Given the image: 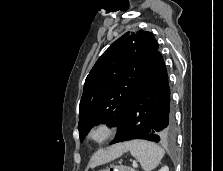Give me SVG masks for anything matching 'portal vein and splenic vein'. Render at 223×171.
I'll return each instance as SVG.
<instances>
[{"instance_id":"18ae733b","label":"portal vein and splenic vein","mask_w":223,"mask_h":171,"mask_svg":"<svg viewBox=\"0 0 223 171\" xmlns=\"http://www.w3.org/2000/svg\"><path fill=\"white\" fill-rule=\"evenodd\" d=\"M133 167H138V164H137V162H133Z\"/></svg>"}]
</instances>
